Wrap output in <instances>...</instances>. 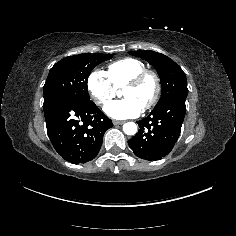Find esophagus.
Wrapping results in <instances>:
<instances>
[{
  "mask_svg": "<svg viewBox=\"0 0 236 236\" xmlns=\"http://www.w3.org/2000/svg\"><path fill=\"white\" fill-rule=\"evenodd\" d=\"M124 123V121H117V120H114L113 121V124L114 125H121V124H123Z\"/></svg>",
  "mask_w": 236,
  "mask_h": 236,
  "instance_id": "1",
  "label": "esophagus"
}]
</instances>
